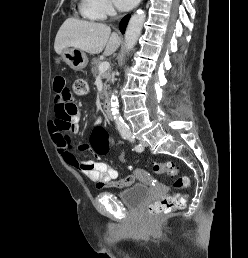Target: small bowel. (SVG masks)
<instances>
[{
  "mask_svg": "<svg viewBox=\"0 0 248 258\" xmlns=\"http://www.w3.org/2000/svg\"><path fill=\"white\" fill-rule=\"evenodd\" d=\"M52 85L54 90L53 105L55 116L49 125V130L52 139L64 161L71 166L79 168L92 182L96 183L99 187H115L118 189H124L131 186L135 182L134 174L116 181L118 176L117 171L106 162L96 160L80 161L76 157L74 152V145L69 132L72 131L75 133L78 131L80 116L77 113L71 116L72 126L69 130L60 129L55 124L54 119L57 114L63 111L66 106L72 105V99L68 89L65 87L64 78H54ZM80 148L85 150L87 147L85 145H80Z\"/></svg>",
  "mask_w": 248,
  "mask_h": 258,
  "instance_id": "1",
  "label": "small bowel"
}]
</instances>
